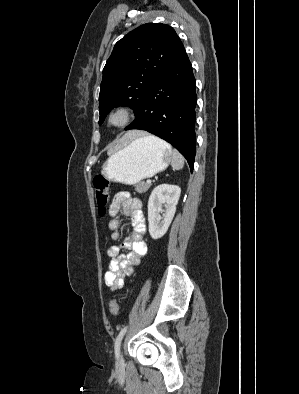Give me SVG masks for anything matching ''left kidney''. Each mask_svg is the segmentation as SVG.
<instances>
[{"mask_svg": "<svg viewBox=\"0 0 299 394\" xmlns=\"http://www.w3.org/2000/svg\"><path fill=\"white\" fill-rule=\"evenodd\" d=\"M180 194L181 189L176 185L161 184L153 189L148 201L149 233L153 239H159L167 232L175 215ZM163 205L165 210L162 208ZM160 213H163V217Z\"/></svg>", "mask_w": 299, "mask_h": 394, "instance_id": "5707ae66", "label": "left kidney"}]
</instances>
